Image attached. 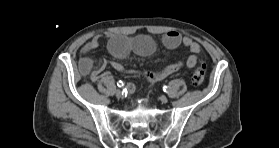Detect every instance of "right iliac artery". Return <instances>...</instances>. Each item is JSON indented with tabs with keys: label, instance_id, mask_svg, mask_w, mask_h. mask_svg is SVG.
I'll return each mask as SVG.
<instances>
[{
	"label": "right iliac artery",
	"instance_id": "obj_1",
	"mask_svg": "<svg viewBox=\"0 0 279 148\" xmlns=\"http://www.w3.org/2000/svg\"><path fill=\"white\" fill-rule=\"evenodd\" d=\"M117 86L118 87H123L124 86V82L123 81H121V80H119L118 82H117ZM126 90V89H125Z\"/></svg>",
	"mask_w": 279,
	"mask_h": 148
}]
</instances>
